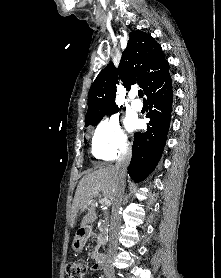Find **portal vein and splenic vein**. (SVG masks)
<instances>
[{
    "instance_id": "18ae733b",
    "label": "portal vein and splenic vein",
    "mask_w": 221,
    "mask_h": 278,
    "mask_svg": "<svg viewBox=\"0 0 221 278\" xmlns=\"http://www.w3.org/2000/svg\"><path fill=\"white\" fill-rule=\"evenodd\" d=\"M99 202L104 206V207H109L111 205V201L108 199H101Z\"/></svg>"
}]
</instances>
